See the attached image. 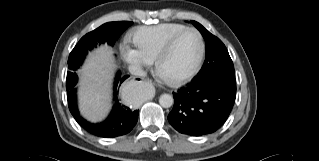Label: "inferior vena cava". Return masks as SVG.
<instances>
[{
	"instance_id": "602c4592",
	"label": "inferior vena cava",
	"mask_w": 319,
	"mask_h": 161,
	"mask_svg": "<svg viewBox=\"0 0 319 161\" xmlns=\"http://www.w3.org/2000/svg\"><path fill=\"white\" fill-rule=\"evenodd\" d=\"M128 69L132 75H135V76H145L146 75L145 71H143L140 66L130 65Z\"/></svg>"
}]
</instances>
